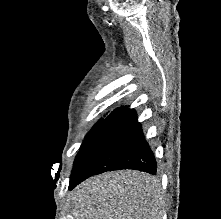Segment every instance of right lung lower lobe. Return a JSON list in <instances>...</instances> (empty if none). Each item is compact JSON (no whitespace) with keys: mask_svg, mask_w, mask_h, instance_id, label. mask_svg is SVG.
Masks as SVG:
<instances>
[{"mask_svg":"<svg viewBox=\"0 0 221 219\" xmlns=\"http://www.w3.org/2000/svg\"><path fill=\"white\" fill-rule=\"evenodd\" d=\"M134 169L156 174V160L134 110L119 108L94 130L78 152L69 189L106 171Z\"/></svg>","mask_w":221,"mask_h":219,"instance_id":"obj_1","label":"right lung lower lobe"}]
</instances>
